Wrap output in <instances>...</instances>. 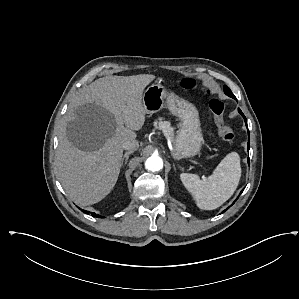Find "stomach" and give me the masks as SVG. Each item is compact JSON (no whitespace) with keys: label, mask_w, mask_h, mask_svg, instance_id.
I'll return each mask as SVG.
<instances>
[{"label":"stomach","mask_w":299,"mask_h":299,"mask_svg":"<svg viewBox=\"0 0 299 299\" xmlns=\"http://www.w3.org/2000/svg\"><path fill=\"white\" fill-rule=\"evenodd\" d=\"M143 105L147 114H154L167 108L180 120V128L173 139L175 159L196 155L203 143L201 123L197 108L189 101L168 91L160 83L149 86L143 94Z\"/></svg>","instance_id":"1"}]
</instances>
